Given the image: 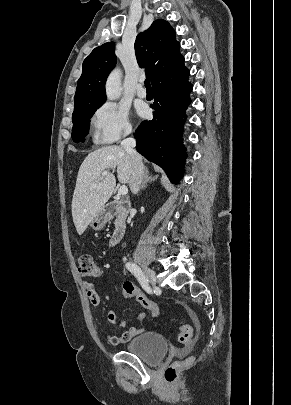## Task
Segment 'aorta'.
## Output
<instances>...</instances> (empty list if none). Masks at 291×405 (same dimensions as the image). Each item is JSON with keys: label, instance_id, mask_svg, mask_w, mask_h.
<instances>
[{"label": "aorta", "instance_id": "1", "mask_svg": "<svg viewBox=\"0 0 291 405\" xmlns=\"http://www.w3.org/2000/svg\"><path fill=\"white\" fill-rule=\"evenodd\" d=\"M106 95L108 100H116L121 94V72L116 69L112 71L106 81Z\"/></svg>", "mask_w": 291, "mask_h": 405}]
</instances>
